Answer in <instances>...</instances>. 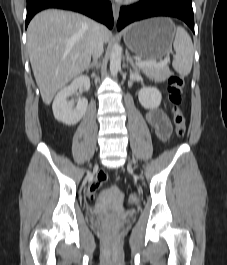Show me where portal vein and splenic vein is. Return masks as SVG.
<instances>
[{"label": "portal vein and splenic vein", "mask_w": 227, "mask_h": 265, "mask_svg": "<svg viewBox=\"0 0 227 265\" xmlns=\"http://www.w3.org/2000/svg\"><path fill=\"white\" fill-rule=\"evenodd\" d=\"M170 61V56H166L162 61H139L137 63L140 67H163Z\"/></svg>", "instance_id": "portal-vein-and-splenic-vein-1"}]
</instances>
